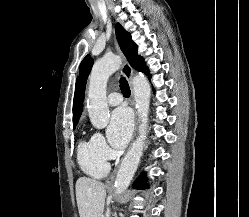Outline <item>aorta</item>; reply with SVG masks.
Returning a JSON list of instances; mask_svg holds the SVG:
<instances>
[{
	"instance_id": "762f6f07",
	"label": "aorta",
	"mask_w": 249,
	"mask_h": 217,
	"mask_svg": "<svg viewBox=\"0 0 249 217\" xmlns=\"http://www.w3.org/2000/svg\"><path fill=\"white\" fill-rule=\"evenodd\" d=\"M120 65L121 59L118 56H110L97 61L92 68L89 80L87 107L90 121L97 129H103L108 124L109 110L106 102L107 81L109 77L119 69ZM133 89L140 125L138 137L122 160L117 173L115 181L117 194H122L129 186L140 162L144 148V140L147 134L151 88L144 74H137L134 77Z\"/></svg>"
}]
</instances>
